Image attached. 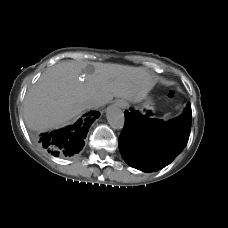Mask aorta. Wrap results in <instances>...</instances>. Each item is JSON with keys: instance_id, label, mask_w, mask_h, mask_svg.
<instances>
[{"instance_id": "762f6f07", "label": "aorta", "mask_w": 228, "mask_h": 228, "mask_svg": "<svg viewBox=\"0 0 228 228\" xmlns=\"http://www.w3.org/2000/svg\"><path fill=\"white\" fill-rule=\"evenodd\" d=\"M106 117L109 125L113 129L120 130L124 128V125H125L124 113L118 106L116 105L109 106L107 108Z\"/></svg>"}]
</instances>
